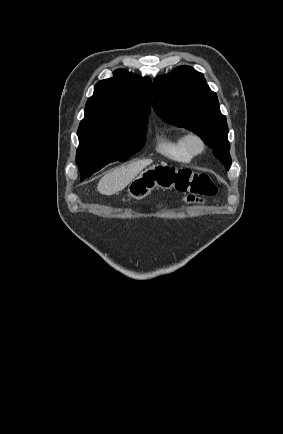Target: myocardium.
Segmentation results:
<instances>
[{
  "mask_svg": "<svg viewBox=\"0 0 283 434\" xmlns=\"http://www.w3.org/2000/svg\"><path fill=\"white\" fill-rule=\"evenodd\" d=\"M183 144L191 157L201 155L206 149V143L202 136L193 131L183 136Z\"/></svg>",
  "mask_w": 283,
  "mask_h": 434,
  "instance_id": "f54148a6",
  "label": "myocardium"
}]
</instances>
